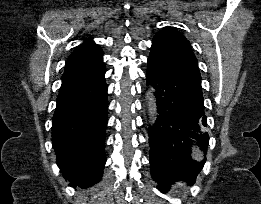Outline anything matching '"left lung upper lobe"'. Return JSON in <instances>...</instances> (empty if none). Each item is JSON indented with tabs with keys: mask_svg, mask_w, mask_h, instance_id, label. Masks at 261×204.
I'll list each match as a JSON object with an SVG mask.
<instances>
[{
	"mask_svg": "<svg viewBox=\"0 0 261 204\" xmlns=\"http://www.w3.org/2000/svg\"><path fill=\"white\" fill-rule=\"evenodd\" d=\"M164 30H174V31H177L175 30L174 28H170V27H166ZM163 31V30H162Z\"/></svg>",
	"mask_w": 261,
	"mask_h": 204,
	"instance_id": "5c2ea615",
	"label": "left lung upper lobe"
}]
</instances>
